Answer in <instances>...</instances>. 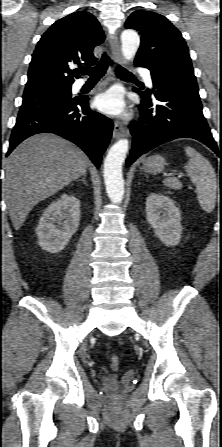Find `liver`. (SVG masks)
I'll use <instances>...</instances> for the list:
<instances>
[{"instance_id":"obj_1","label":"liver","mask_w":222,"mask_h":447,"mask_svg":"<svg viewBox=\"0 0 222 447\" xmlns=\"http://www.w3.org/2000/svg\"><path fill=\"white\" fill-rule=\"evenodd\" d=\"M90 161L71 142L52 134L23 141L5 162L3 189L15 230L40 201L83 176Z\"/></svg>"}]
</instances>
